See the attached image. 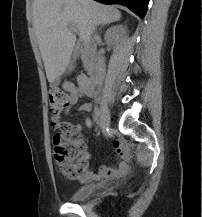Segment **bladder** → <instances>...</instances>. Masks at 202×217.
I'll return each instance as SVG.
<instances>
[{
	"label": "bladder",
	"instance_id": "bladder-1",
	"mask_svg": "<svg viewBox=\"0 0 202 217\" xmlns=\"http://www.w3.org/2000/svg\"><path fill=\"white\" fill-rule=\"evenodd\" d=\"M95 189L93 184H85L77 188L72 194L69 196V200L73 202H81L90 197Z\"/></svg>",
	"mask_w": 202,
	"mask_h": 217
}]
</instances>
